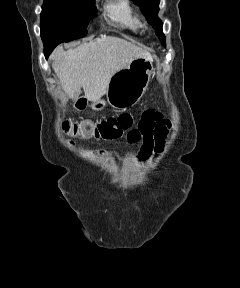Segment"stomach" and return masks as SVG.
Segmentation results:
<instances>
[{
    "label": "stomach",
    "mask_w": 240,
    "mask_h": 288,
    "mask_svg": "<svg viewBox=\"0 0 240 288\" xmlns=\"http://www.w3.org/2000/svg\"><path fill=\"white\" fill-rule=\"evenodd\" d=\"M153 62L146 58H136L126 68L115 73L107 87V101L116 109H127L134 106L145 93L153 73ZM104 100L93 102L94 110H102Z\"/></svg>",
    "instance_id": "1"
}]
</instances>
